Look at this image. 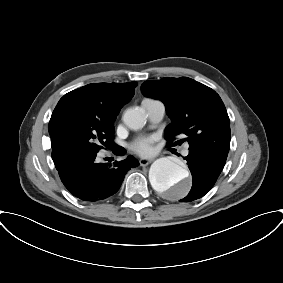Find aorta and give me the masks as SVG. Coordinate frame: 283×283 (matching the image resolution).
I'll use <instances>...</instances> for the list:
<instances>
[{
    "instance_id": "762f6f07",
    "label": "aorta",
    "mask_w": 283,
    "mask_h": 283,
    "mask_svg": "<svg viewBox=\"0 0 283 283\" xmlns=\"http://www.w3.org/2000/svg\"><path fill=\"white\" fill-rule=\"evenodd\" d=\"M123 121L130 129L137 130L144 126L145 114L139 108H129L123 114ZM149 180L157 192H170L174 198H182L189 191L188 171L170 157L152 163Z\"/></svg>"
}]
</instances>
